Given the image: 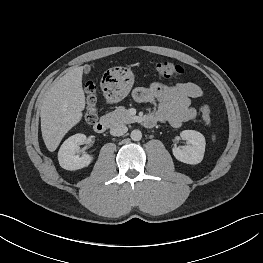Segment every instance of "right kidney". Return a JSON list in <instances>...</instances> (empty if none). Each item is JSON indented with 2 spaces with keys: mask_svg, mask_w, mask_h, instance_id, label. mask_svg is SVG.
I'll return each mask as SVG.
<instances>
[{
  "mask_svg": "<svg viewBox=\"0 0 263 263\" xmlns=\"http://www.w3.org/2000/svg\"><path fill=\"white\" fill-rule=\"evenodd\" d=\"M86 141L85 134H75L69 137L61 145L58 152L59 164L66 170H78L87 167L93 160V156L84 153L81 157L76 155L79 152V146Z\"/></svg>",
  "mask_w": 263,
  "mask_h": 263,
  "instance_id": "obj_1",
  "label": "right kidney"
}]
</instances>
